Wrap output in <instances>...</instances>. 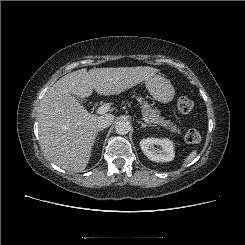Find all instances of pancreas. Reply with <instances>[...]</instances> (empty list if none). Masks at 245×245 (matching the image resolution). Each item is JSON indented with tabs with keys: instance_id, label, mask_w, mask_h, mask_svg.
Here are the masks:
<instances>
[{
	"instance_id": "cf45deb5",
	"label": "pancreas",
	"mask_w": 245,
	"mask_h": 245,
	"mask_svg": "<svg viewBox=\"0 0 245 245\" xmlns=\"http://www.w3.org/2000/svg\"><path fill=\"white\" fill-rule=\"evenodd\" d=\"M137 100L141 104V111L143 115L146 116L152 124L160 125L168 130H171L172 132H178L181 134V130L177 128L176 125H174L170 120H164V118L159 115V111L152 109L148 102L142 97L137 98Z\"/></svg>"
}]
</instances>
